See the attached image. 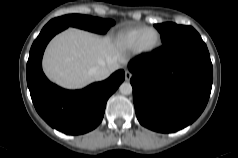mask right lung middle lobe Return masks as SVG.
<instances>
[{"instance_id": "obj_1", "label": "right lung middle lobe", "mask_w": 238, "mask_h": 158, "mask_svg": "<svg viewBox=\"0 0 238 158\" xmlns=\"http://www.w3.org/2000/svg\"><path fill=\"white\" fill-rule=\"evenodd\" d=\"M114 24L115 22L110 19H101L80 14H70L52 19L45 25L44 28L51 26H64L67 28L69 26H73L96 33H106L107 30Z\"/></svg>"}]
</instances>
